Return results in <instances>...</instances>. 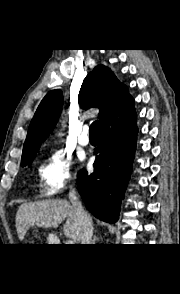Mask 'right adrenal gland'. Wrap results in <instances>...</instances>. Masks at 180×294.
<instances>
[{
  "label": "right adrenal gland",
  "mask_w": 180,
  "mask_h": 294,
  "mask_svg": "<svg viewBox=\"0 0 180 294\" xmlns=\"http://www.w3.org/2000/svg\"><path fill=\"white\" fill-rule=\"evenodd\" d=\"M98 240V237L95 235L94 239H93V244H95V242Z\"/></svg>",
  "instance_id": "1"
}]
</instances>
